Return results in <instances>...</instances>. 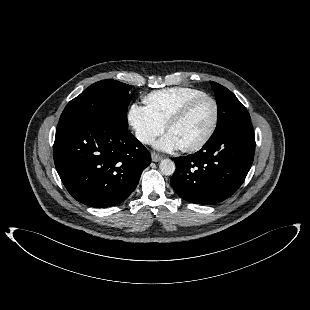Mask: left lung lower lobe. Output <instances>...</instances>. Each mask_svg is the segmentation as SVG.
<instances>
[{
	"instance_id": "left-lung-lower-lobe-1",
	"label": "left lung lower lobe",
	"mask_w": 310,
	"mask_h": 310,
	"mask_svg": "<svg viewBox=\"0 0 310 310\" xmlns=\"http://www.w3.org/2000/svg\"><path fill=\"white\" fill-rule=\"evenodd\" d=\"M254 152L253 127L246 123L209 140L195 154L176 157V171L170 183L188 202L219 203L242 185L253 163Z\"/></svg>"
}]
</instances>
